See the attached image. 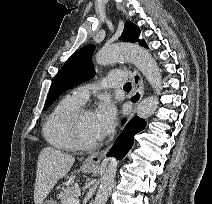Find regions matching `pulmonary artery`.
<instances>
[{
	"label": "pulmonary artery",
	"instance_id": "e3ab8cb5",
	"mask_svg": "<svg viewBox=\"0 0 212 204\" xmlns=\"http://www.w3.org/2000/svg\"><path fill=\"white\" fill-rule=\"evenodd\" d=\"M126 75L122 72L111 73L108 76L104 77L97 85H86L77 87L73 91V97L78 100L80 103L84 104L91 91L96 88H112L118 87L125 83Z\"/></svg>",
	"mask_w": 212,
	"mask_h": 204
}]
</instances>
